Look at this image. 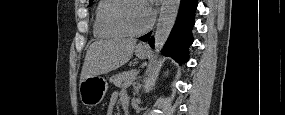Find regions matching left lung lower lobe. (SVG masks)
Instances as JSON below:
<instances>
[{
    "label": "left lung lower lobe",
    "mask_w": 285,
    "mask_h": 115,
    "mask_svg": "<svg viewBox=\"0 0 285 115\" xmlns=\"http://www.w3.org/2000/svg\"><path fill=\"white\" fill-rule=\"evenodd\" d=\"M196 9L197 0H181L176 23L162 50L164 55L172 57L179 64L188 61V49L193 42L192 28ZM140 40L148 42L151 47H154L152 32L140 37Z\"/></svg>",
    "instance_id": "obj_1"
}]
</instances>
